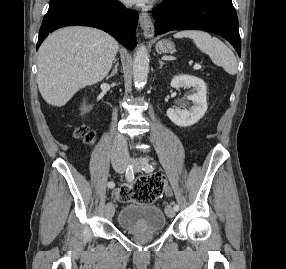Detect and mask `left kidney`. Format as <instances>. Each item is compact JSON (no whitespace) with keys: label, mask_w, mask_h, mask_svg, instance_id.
<instances>
[{"label":"left kidney","mask_w":286,"mask_h":269,"mask_svg":"<svg viewBox=\"0 0 286 269\" xmlns=\"http://www.w3.org/2000/svg\"><path fill=\"white\" fill-rule=\"evenodd\" d=\"M171 87H193L192 94L188 95V100L192 101L193 105L189 109L169 108L167 116L177 126L188 127L197 123L207 111L206 102V84L195 76L179 75L172 79Z\"/></svg>","instance_id":"5707ae66"}]
</instances>
